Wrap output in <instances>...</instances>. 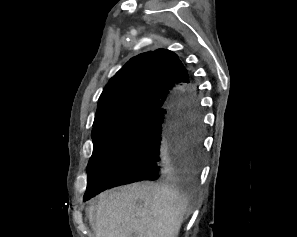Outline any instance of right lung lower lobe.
<instances>
[{"label":"right lung lower lobe","instance_id":"right-lung-lower-lobe-1","mask_svg":"<svg viewBox=\"0 0 297 237\" xmlns=\"http://www.w3.org/2000/svg\"><path fill=\"white\" fill-rule=\"evenodd\" d=\"M202 137L197 89L190 83L174 90L168 104L150 115L111 183L93 196L133 182L193 175L201 164Z\"/></svg>","mask_w":297,"mask_h":237}]
</instances>
